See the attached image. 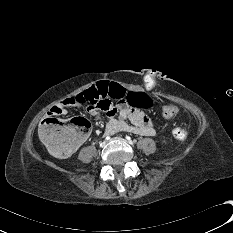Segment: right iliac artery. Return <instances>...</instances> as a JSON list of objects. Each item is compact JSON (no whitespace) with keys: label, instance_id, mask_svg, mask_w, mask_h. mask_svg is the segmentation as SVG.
Instances as JSON below:
<instances>
[{"label":"right iliac artery","instance_id":"right-iliac-artery-1","mask_svg":"<svg viewBox=\"0 0 233 233\" xmlns=\"http://www.w3.org/2000/svg\"><path fill=\"white\" fill-rule=\"evenodd\" d=\"M105 139H106V140H109V139H110V136H106Z\"/></svg>","mask_w":233,"mask_h":233}]
</instances>
